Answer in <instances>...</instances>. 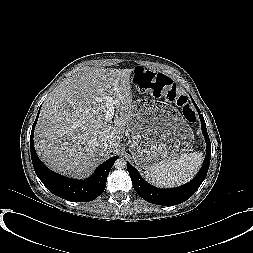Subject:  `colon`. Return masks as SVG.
I'll use <instances>...</instances> for the list:
<instances>
[{
    "mask_svg": "<svg viewBox=\"0 0 253 253\" xmlns=\"http://www.w3.org/2000/svg\"><path fill=\"white\" fill-rule=\"evenodd\" d=\"M134 76L137 79L148 81L154 88L153 93L157 99L168 98L182 108L183 114L188 120H194V112L190 109L186 96L176 93L174 84L168 77L160 73L148 72L140 67L136 68Z\"/></svg>",
    "mask_w": 253,
    "mask_h": 253,
    "instance_id": "obj_1",
    "label": "colon"
}]
</instances>
